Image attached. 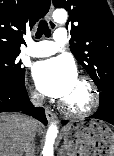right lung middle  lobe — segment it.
Segmentation results:
<instances>
[{"label":"right lung middle lobe","instance_id":"right-lung-middle-lobe-1","mask_svg":"<svg viewBox=\"0 0 114 156\" xmlns=\"http://www.w3.org/2000/svg\"><path fill=\"white\" fill-rule=\"evenodd\" d=\"M18 55L0 52V90H17L23 86L25 69L21 68Z\"/></svg>","mask_w":114,"mask_h":156}]
</instances>
